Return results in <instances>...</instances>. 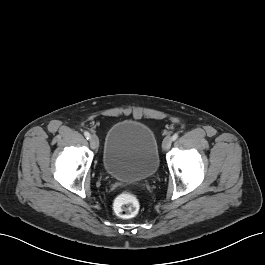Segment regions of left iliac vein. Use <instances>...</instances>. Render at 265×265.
Listing matches in <instances>:
<instances>
[{"label":"left iliac vein","instance_id":"left-iliac-vein-1","mask_svg":"<svg viewBox=\"0 0 265 265\" xmlns=\"http://www.w3.org/2000/svg\"><path fill=\"white\" fill-rule=\"evenodd\" d=\"M172 144V138L170 136H167L162 143L163 150H168L171 147Z\"/></svg>","mask_w":265,"mask_h":265}]
</instances>
